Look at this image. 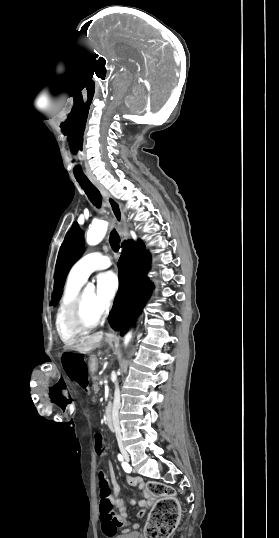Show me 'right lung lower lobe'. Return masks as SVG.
Wrapping results in <instances>:
<instances>
[{
  "mask_svg": "<svg viewBox=\"0 0 279 538\" xmlns=\"http://www.w3.org/2000/svg\"><path fill=\"white\" fill-rule=\"evenodd\" d=\"M151 255L142 243L125 245L118 261L119 291L108 321L125 333L128 324L140 314L153 288L147 276Z\"/></svg>",
  "mask_w": 279,
  "mask_h": 538,
  "instance_id": "98d812e1",
  "label": "right lung lower lobe"
}]
</instances>
